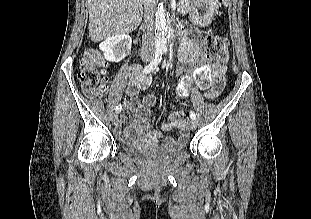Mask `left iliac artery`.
I'll use <instances>...</instances> for the list:
<instances>
[{"label":"left iliac artery","mask_w":311,"mask_h":219,"mask_svg":"<svg viewBox=\"0 0 311 219\" xmlns=\"http://www.w3.org/2000/svg\"><path fill=\"white\" fill-rule=\"evenodd\" d=\"M163 51L166 53V52H167V49H166V48H164V49H163ZM190 117H191V119H193V120H195V119H196V114H195V112H194V111H191V112H190Z\"/></svg>","instance_id":"left-iliac-artery-1"}]
</instances>
